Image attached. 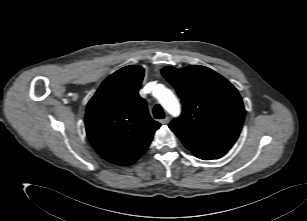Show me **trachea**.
I'll use <instances>...</instances> for the list:
<instances>
[{
	"mask_svg": "<svg viewBox=\"0 0 307 221\" xmlns=\"http://www.w3.org/2000/svg\"><path fill=\"white\" fill-rule=\"evenodd\" d=\"M152 111H153L154 118L156 119H163L165 117V113L159 104H156L153 107Z\"/></svg>",
	"mask_w": 307,
	"mask_h": 221,
	"instance_id": "obj_1",
	"label": "trachea"
}]
</instances>
